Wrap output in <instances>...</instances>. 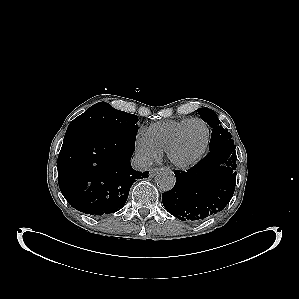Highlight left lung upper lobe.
Returning a JSON list of instances; mask_svg holds the SVG:
<instances>
[{"label": "left lung upper lobe", "mask_w": 299, "mask_h": 299, "mask_svg": "<svg viewBox=\"0 0 299 299\" xmlns=\"http://www.w3.org/2000/svg\"><path fill=\"white\" fill-rule=\"evenodd\" d=\"M197 111L203 121L207 122L209 126L213 128L210 140V150L222 144H234L232 135L228 132V130L220 126V121L213 110L204 107L199 108Z\"/></svg>", "instance_id": "1"}]
</instances>
